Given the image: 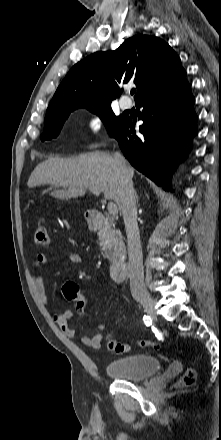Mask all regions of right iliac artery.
<instances>
[{
  "instance_id": "1",
  "label": "right iliac artery",
  "mask_w": 221,
  "mask_h": 440,
  "mask_svg": "<svg viewBox=\"0 0 221 440\" xmlns=\"http://www.w3.org/2000/svg\"><path fill=\"white\" fill-rule=\"evenodd\" d=\"M143 321L146 325H149L151 323V318L149 316H144Z\"/></svg>"
}]
</instances>
